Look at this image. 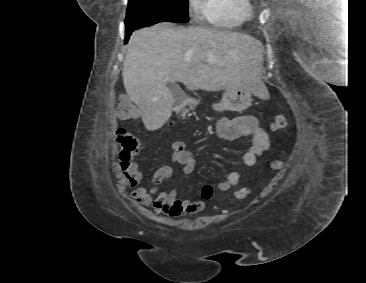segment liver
<instances>
[{"mask_svg":"<svg viewBox=\"0 0 366 283\" xmlns=\"http://www.w3.org/2000/svg\"><path fill=\"white\" fill-rule=\"evenodd\" d=\"M262 53V44L249 35L163 22L131 35L123 83L145 128L155 131L172 114L168 82L192 91L247 87L261 97Z\"/></svg>","mask_w":366,"mask_h":283,"instance_id":"obj_1","label":"liver"}]
</instances>
